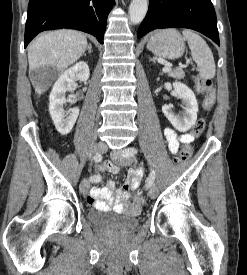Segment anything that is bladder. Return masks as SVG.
<instances>
[{
	"label": "bladder",
	"mask_w": 247,
	"mask_h": 275,
	"mask_svg": "<svg viewBox=\"0 0 247 275\" xmlns=\"http://www.w3.org/2000/svg\"><path fill=\"white\" fill-rule=\"evenodd\" d=\"M139 214V211H132L121 214L119 218L112 219L107 217L113 215L111 211L105 209L90 210L88 212V221L94 226H115L128 230L137 225Z\"/></svg>",
	"instance_id": "31cf9c89"
}]
</instances>
